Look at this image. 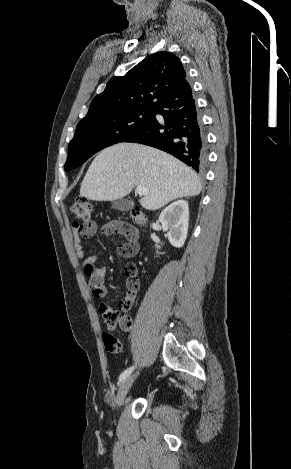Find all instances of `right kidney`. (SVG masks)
Returning <instances> with one entry per match:
<instances>
[{
	"instance_id": "obj_1",
	"label": "right kidney",
	"mask_w": 291,
	"mask_h": 469,
	"mask_svg": "<svg viewBox=\"0 0 291 469\" xmlns=\"http://www.w3.org/2000/svg\"><path fill=\"white\" fill-rule=\"evenodd\" d=\"M163 231H168V240L172 246L181 248L188 233V202L178 200L166 207L159 216Z\"/></svg>"
}]
</instances>
